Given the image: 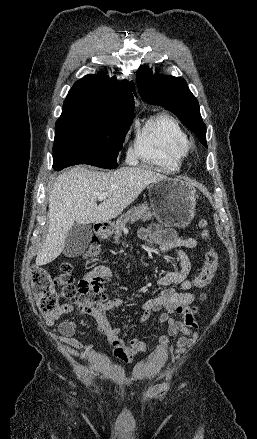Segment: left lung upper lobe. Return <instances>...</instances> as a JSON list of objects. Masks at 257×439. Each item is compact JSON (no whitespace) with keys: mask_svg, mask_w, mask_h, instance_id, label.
I'll return each instance as SVG.
<instances>
[{"mask_svg":"<svg viewBox=\"0 0 257 439\" xmlns=\"http://www.w3.org/2000/svg\"><path fill=\"white\" fill-rule=\"evenodd\" d=\"M136 79L139 94L144 101L164 106L173 112L207 147L206 126L200 115L198 100L183 78L153 75L151 69L143 66L136 72Z\"/></svg>","mask_w":257,"mask_h":439,"instance_id":"obj_1","label":"left lung upper lobe"}]
</instances>
